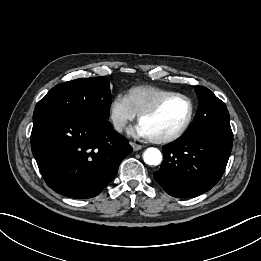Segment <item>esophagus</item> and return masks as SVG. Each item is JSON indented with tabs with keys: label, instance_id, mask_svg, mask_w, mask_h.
I'll return each instance as SVG.
<instances>
[{
	"label": "esophagus",
	"instance_id": "obj_1",
	"mask_svg": "<svg viewBox=\"0 0 261 261\" xmlns=\"http://www.w3.org/2000/svg\"><path fill=\"white\" fill-rule=\"evenodd\" d=\"M130 144H131L134 151H138V150L142 149V145H140V144H137V143H134V142H130Z\"/></svg>",
	"mask_w": 261,
	"mask_h": 261
}]
</instances>
